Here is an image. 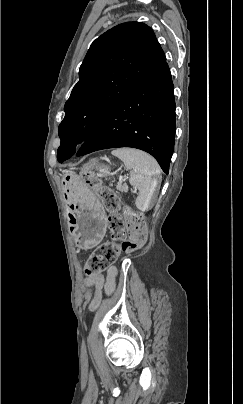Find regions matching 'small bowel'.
Returning <instances> with one entry per match:
<instances>
[{"instance_id":"1","label":"small bowel","mask_w":243,"mask_h":404,"mask_svg":"<svg viewBox=\"0 0 243 404\" xmlns=\"http://www.w3.org/2000/svg\"><path fill=\"white\" fill-rule=\"evenodd\" d=\"M116 275H117V269L115 267H110L107 270L106 278H104L101 275H98L97 277H95L92 280V283L95 284L96 291H97L96 298L94 299V301H93V303L91 305L92 308H94L96 306V304L98 302V299H99V292L103 287L105 288V290L107 292L113 291V289L115 287Z\"/></svg>"}]
</instances>
